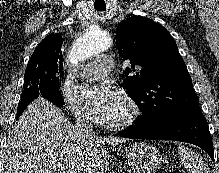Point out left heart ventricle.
Listing matches in <instances>:
<instances>
[{
  "mask_svg": "<svg viewBox=\"0 0 219 173\" xmlns=\"http://www.w3.org/2000/svg\"><path fill=\"white\" fill-rule=\"evenodd\" d=\"M129 113V107L126 105V103L122 100V98H119V101L113 111L110 113L106 121H119L125 118Z\"/></svg>",
  "mask_w": 219,
  "mask_h": 173,
  "instance_id": "left-heart-ventricle-1",
  "label": "left heart ventricle"
}]
</instances>
